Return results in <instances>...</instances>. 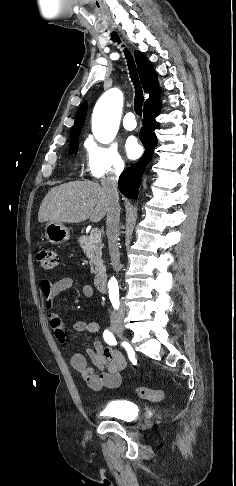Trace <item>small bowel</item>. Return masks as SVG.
<instances>
[{
    "mask_svg": "<svg viewBox=\"0 0 236 486\" xmlns=\"http://www.w3.org/2000/svg\"><path fill=\"white\" fill-rule=\"evenodd\" d=\"M73 285L74 280L70 277L61 278L56 282L43 279L41 281V292L45 308L52 311L55 297L72 288ZM81 290L87 297H91L94 293L92 287L87 284L83 285ZM48 317L56 336L60 341H64L66 333L64 321L55 312H50ZM72 329L76 332L97 333L100 325L95 321L88 322L79 319L73 323ZM86 353L91 364L81 353H74L70 358L71 366L81 375L85 384L95 391L118 387L122 380L121 372L126 368L124 357L110 347H103L98 340L93 342V348H88Z\"/></svg>",
    "mask_w": 236,
    "mask_h": 486,
    "instance_id": "c3829d8e",
    "label": "small bowel"
}]
</instances>
